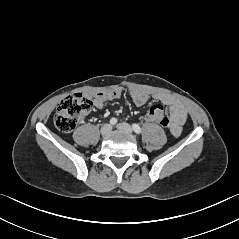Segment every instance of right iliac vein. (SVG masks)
I'll return each instance as SVG.
<instances>
[{"mask_svg":"<svg viewBox=\"0 0 239 239\" xmlns=\"http://www.w3.org/2000/svg\"><path fill=\"white\" fill-rule=\"evenodd\" d=\"M111 130H112V126L110 124H105L101 128V134L103 136H106L111 132Z\"/></svg>","mask_w":239,"mask_h":239,"instance_id":"63e3f726","label":"right iliac vein"}]
</instances>
